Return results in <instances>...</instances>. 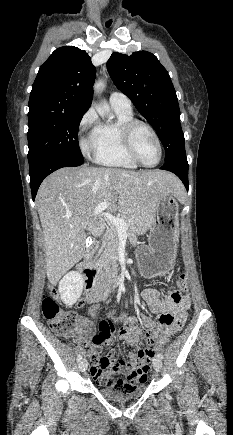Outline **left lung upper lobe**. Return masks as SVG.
Wrapping results in <instances>:
<instances>
[{
	"instance_id": "1",
	"label": "left lung upper lobe",
	"mask_w": 233,
	"mask_h": 435,
	"mask_svg": "<svg viewBox=\"0 0 233 435\" xmlns=\"http://www.w3.org/2000/svg\"><path fill=\"white\" fill-rule=\"evenodd\" d=\"M114 84L127 95L157 132L165 162L185 154L176 91L166 69L147 51L131 56L115 52L107 61Z\"/></svg>"
}]
</instances>
